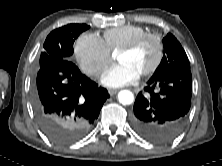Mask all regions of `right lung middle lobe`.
<instances>
[{"label": "right lung middle lobe", "mask_w": 222, "mask_h": 166, "mask_svg": "<svg viewBox=\"0 0 222 166\" xmlns=\"http://www.w3.org/2000/svg\"><path fill=\"white\" fill-rule=\"evenodd\" d=\"M85 24H68L53 30L46 38L43 52L40 55L39 66L54 61L69 60L73 54V44L80 33L87 30Z\"/></svg>", "instance_id": "dd1d6c3e"}]
</instances>
